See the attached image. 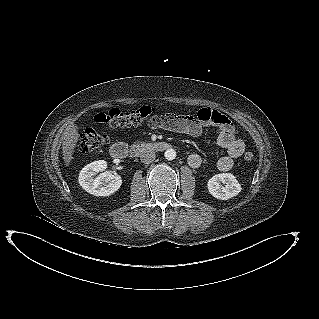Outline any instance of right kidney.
<instances>
[{"mask_svg": "<svg viewBox=\"0 0 319 319\" xmlns=\"http://www.w3.org/2000/svg\"><path fill=\"white\" fill-rule=\"evenodd\" d=\"M106 168L105 160L87 164L79 173L80 186L94 196H110L115 193L121 187L122 179L118 174L105 171ZM99 172L102 173L97 175Z\"/></svg>", "mask_w": 319, "mask_h": 319, "instance_id": "ca27d5eb", "label": "right kidney"}]
</instances>
